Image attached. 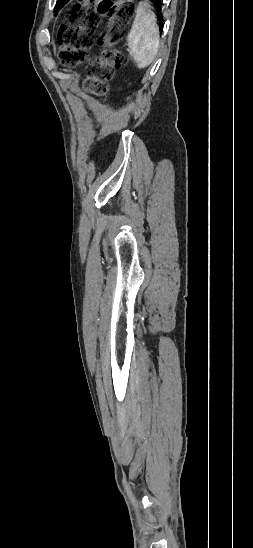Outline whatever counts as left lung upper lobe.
Returning a JSON list of instances; mask_svg holds the SVG:
<instances>
[{
  "instance_id": "1",
  "label": "left lung upper lobe",
  "mask_w": 253,
  "mask_h": 548,
  "mask_svg": "<svg viewBox=\"0 0 253 548\" xmlns=\"http://www.w3.org/2000/svg\"><path fill=\"white\" fill-rule=\"evenodd\" d=\"M60 1H61V0H57V3H56V5H57V4H58V3L60 2ZM55 12H56V11H55Z\"/></svg>"
}]
</instances>
